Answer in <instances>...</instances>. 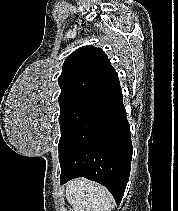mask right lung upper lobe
<instances>
[{
	"label": "right lung upper lobe",
	"instance_id": "right-lung-upper-lobe-1",
	"mask_svg": "<svg viewBox=\"0 0 178 211\" xmlns=\"http://www.w3.org/2000/svg\"><path fill=\"white\" fill-rule=\"evenodd\" d=\"M59 85L60 107L78 102L97 103L121 89L104 51L91 45L82 46L67 57Z\"/></svg>",
	"mask_w": 178,
	"mask_h": 211
}]
</instances>
